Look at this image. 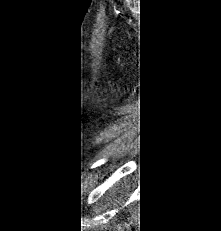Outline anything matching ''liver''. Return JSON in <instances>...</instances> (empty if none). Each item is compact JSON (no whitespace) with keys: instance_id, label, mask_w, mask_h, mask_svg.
Masks as SVG:
<instances>
[{"instance_id":"1","label":"liver","mask_w":221,"mask_h":231,"mask_svg":"<svg viewBox=\"0 0 221 231\" xmlns=\"http://www.w3.org/2000/svg\"><path fill=\"white\" fill-rule=\"evenodd\" d=\"M130 192H131V189L128 183H124V185L120 187V193L122 196H129Z\"/></svg>"}]
</instances>
